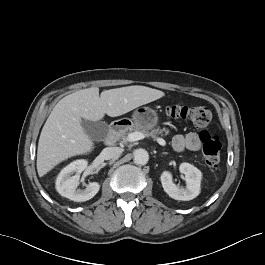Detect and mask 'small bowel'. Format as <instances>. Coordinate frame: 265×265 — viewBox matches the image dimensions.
<instances>
[{
  "label": "small bowel",
  "mask_w": 265,
  "mask_h": 265,
  "mask_svg": "<svg viewBox=\"0 0 265 265\" xmlns=\"http://www.w3.org/2000/svg\"><path fill=\"white\" fill-rule=\"evenodd\" d=\"M200 146V137L198 134L193 132L177 135L173 139V147L177 151H196L200 148Z\"/></svg>",
  "instance_id": "1"
}]
</instances>
